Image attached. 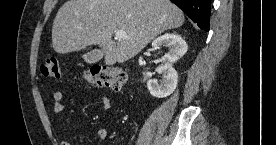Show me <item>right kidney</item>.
Returning a JSON list of instances; mask_svg holds the SVG:
<instances>
[{"mask_svg": "<svg viewBox=\"0 0 276 145\" xmlns=\"http://www.w3.org/2000/svg\"><path fill=\"white\" fill-rule=\"evenodd\" d=\"M160 46L168 47L165 56L156 60L160 63L156 71L162 74V80L160 83L156 79L149 80L147 88L153 97L165 98L171 95L177 87L178 74L173 64L187 52L188 46L185 40L176 33H166L152 42L153 50Z\"/></svg>", "mask_w": 276, "mask_h": 145, "instance_id": "1", "label": "right kidney"}]
</instances>
